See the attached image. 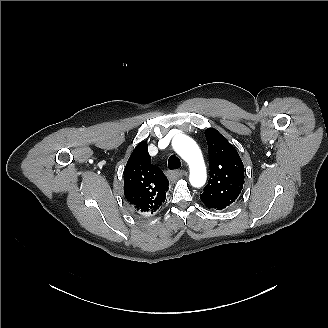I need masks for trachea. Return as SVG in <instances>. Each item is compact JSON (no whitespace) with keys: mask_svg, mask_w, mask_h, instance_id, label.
<instances>
[{"mask_svg":"<svg viewBox=\"0 0 328 328\" xmlns=\"http://www.w3.org/2000/svg\"><path fill=\"white\" fill-rule=\"evenodd\" d=\"M180 167H181L180 159L175 155L170 156L168 159V168L170 170H176L179 169Z\"/></svg>","mask_w":328,"mask_h":328,"instance_id":"1","label":"trachea"}]
</instances>
